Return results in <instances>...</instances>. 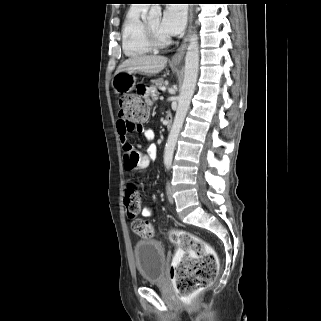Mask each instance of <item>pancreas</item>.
<instances>
[{
  "instance_id": "pancreas-1",
  "label": "pancreas",
  "mask_w": 321,
  "mask_h": 321,
  "mask_svg": "<svg viewBox=\"0 0 321 321\" xmlns=\"http://www.w3.org/2000/svg\"><path fill=\"white\" fill-rule=\"evenodd\" d=\"M153 86L151 89H156V88H161L164 84V80L163 78H159V79H156V80H153Z\"/></svg>"
}]
</instances>
